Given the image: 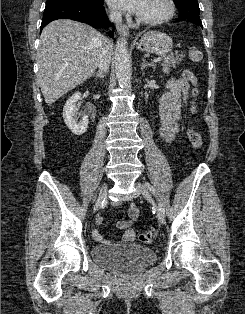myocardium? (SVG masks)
I'll use <instances>...</instances> for the list:
<instances>
[{"label":"myocardium","instance_id":"f54148a6","mask_svg":"<svg viewBox=\"0 0 245 314\" xmlns=\"http://www.w3.org/2000/svg\"><path fill=\"white\" fill-rule=\"evenodd\" d=\"M164 2L166 5V11L162 15L155 18H149V19L138 16L137 17L138 23L142 25H147V26H154V25L164 23L168 21L169 19H171L176 9L174 0H164Z\"/></svg>","mask_w":245,"mask_h":314}]
</instances>
